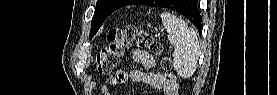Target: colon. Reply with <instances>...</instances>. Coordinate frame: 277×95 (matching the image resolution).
<instances>
[{
    "mask_svg": "<svg viewBox=\"0 0 277 95\" xmlns=\"http://www.w3.org/2000/svg\"><path fill=\"white\" fill-rule=\"evenodd\" d=\"M108 45L101 49L97 56V72L101 75L111 74L119 65L125 49L138 48L149 50L161 57L163 70L159 73L162 81L167 79V72L172 68L169 57L163 56L162 45L148 32L130 25L123 28H112L107 33Z\"/></svg>",
    "mask_w": 277,
    "mask_h": 95,
    "instance_id": "obj_1",
    "label": "colon"
}]
</instances>
